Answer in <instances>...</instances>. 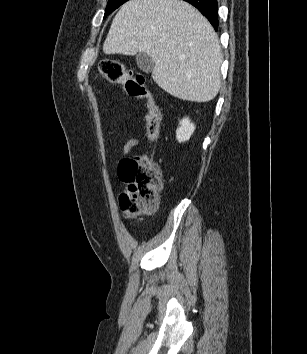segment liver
<instances>
[{"label": "liver", "mask_w": 307, "mask_h": 354, "mask_svg": "<svg viewBox=\"0 0 307 354\" xmlns=\"http://www.w3.org/2000/svg\"><path fill=\"white\" fill-rule=\"evenodd\" d=\"M105 54L143 52L154 61L152 78L179 99L208 102L221 86L223 61L208 20L182 0H130L113 19Z\"/></svg>", "instance_id": "1"}]
</instances>
